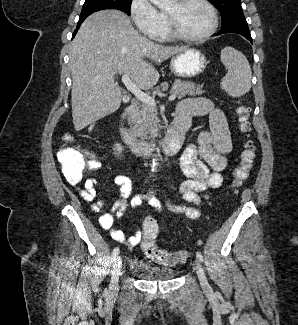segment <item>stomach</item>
Listing matches in <instances>:
<instances>
[{"label":"stomach","mask_w":298,"mask_h":325,"mask_svg":"<svg viewBox=\"0 0 298 325\" xmlns=\"http://www.w3.org/2000/svg\"><path fill=\"white\" fill-rule=\"evenodd\" d=\"M208 62L201 48H187L170 58L169 68L178 78H193L204 72Z\"/></svg>","instance_id":"0dacf381"}]
</instances>
